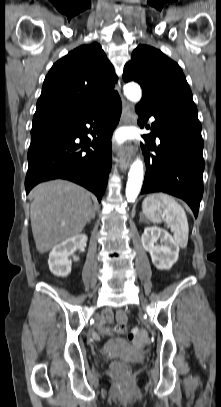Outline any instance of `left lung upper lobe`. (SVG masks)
<instances>
[{
    "instance_id": "left-lung-upper-lobe-1",
    "label": "left lung upper lobe",
    "mask_w": 221,
    "mask_h": 407,
    "mask_svg": "<svg viewBox=\"0 0 221 407\" xmlns=\"http://www.w3.org/2000/svg\"><path fill=\"white\" fill-rule=\"evenodd\" d=\"M123 79L141 85L139 106L156 111L179 106L196 108L182 69L151 46L139 45L133 51L131 61L124 67Z\"/></svg>"
}]
</instances>
